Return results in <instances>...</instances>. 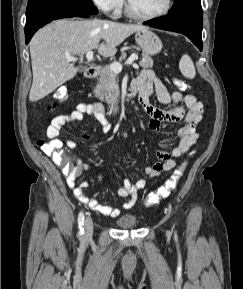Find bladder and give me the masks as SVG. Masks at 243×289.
Segmentation results:
<instances>
[{
	"mask_svg": "<svg viewBox=\"0 0 243 289\" xmlns=\"http://www.w3.org/2000/svg\"><path fill=\"white\" fill-rule=\"evenodd\" d=\"M137 224L136 217L131 214H126L116 220V225L123 229H130Z\"/></svg>",
	"mask_w": 243,
	"mask_h": 289,
	"instance_id": "1",
	"label": "bladder"
}]
</instances>
